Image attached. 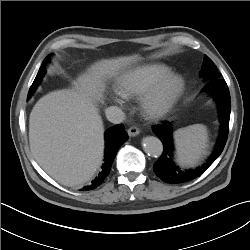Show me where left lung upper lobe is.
<instances>
[{
  "label": "left lung upper lobe",
  "instance_id": "obj_1",
  "mask_svg": "<svg viewBox=\"0 0 250 250\" xmlns=\"http://www.w3.org/2000/svg\"><path fill=\"white\" fill-rule=\"evenodd\" d=\"M200 75L203 76L204 79L207 81L220 79L221 77V74L218 72V69L215 64L206 55L204 56Z\"/></svg>",
  "mask_w": 250,
  "mask_h": 250
}]
</instances>
